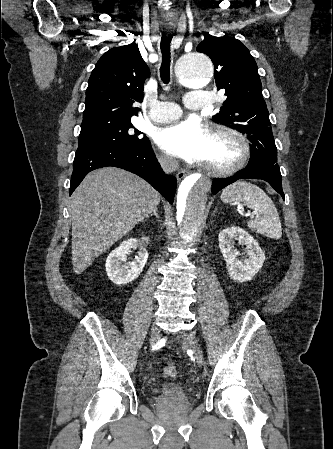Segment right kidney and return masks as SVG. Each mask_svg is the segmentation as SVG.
I'll list each match as a JSON object with an SVG mask.
<instances>
[{
	"label": "right kidney",
	"mask_w": 333,
	"mask_h": 449,
	"mask_svg": "<svg viewBox=\"0 0 333 449\" xmlns=\"http://www.w3.org/2000/svg\"><path fill=\"white\" fill-rule=\"evenodd\" d=\"M137 247L139 248L138 255L132 262L126 263L130 250ZM147 259V250L136 239L131 238L108 255L105 264L107 275L114 284L130 283L142 273Z\"/></svg>",
	"instance_id": "obj_1"
}]
</instances>
